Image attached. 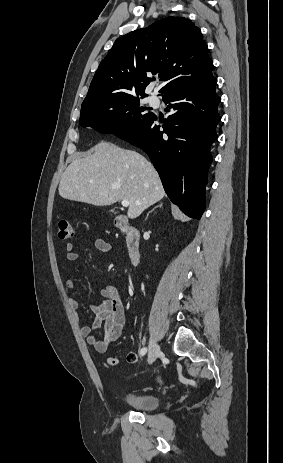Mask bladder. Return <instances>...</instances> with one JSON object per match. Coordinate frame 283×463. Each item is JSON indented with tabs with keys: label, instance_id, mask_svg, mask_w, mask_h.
<instances>
[{
	"label": "bladder",
	"instance_id": "1",
	"mask_svg": "<svg viewBox=\"0 0 283 463\" xmlns=\"http://www.w3.org/2000/svg\"><path fill=\"white\" fill-rule=\"evenodd\" d=\"M123 401L128 406L141 411H153L159 404L158 397L148 393H127Z\"/></svg>",
	"mask_w": 283,
	"mask_h": 463
}]
</instances>
